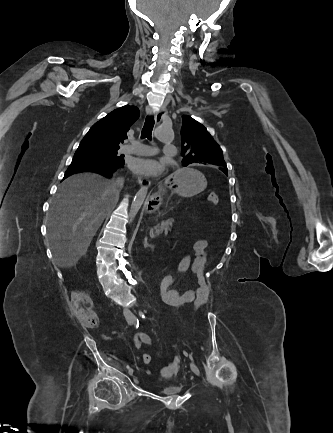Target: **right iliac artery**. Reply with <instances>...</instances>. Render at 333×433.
<instances>
[{
    "instance_id": "82829eb1",
    "label": "right iliac artery",
    "mask_w": 333,
    "mask_h": 433,
    "mask_svg": "<svg viewBox=\"0 0 333 433\" xmlns=\"http://www.w3.org/2000/svg\"><path fill=\"white\" fill-rule=\"evenodd\" d=\"M138 326H139V323L137 322L136 328H138ZM126 368L129 370V369H130V366H129V365H126Z\"/></svg>"
}]
</instances>
